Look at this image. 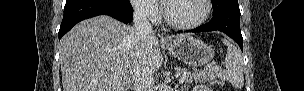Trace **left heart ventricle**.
<instances>
[{
    "instance_id": "1",
    "label": "left heart ventricle",
    "mask_w": 304,
    "mask_h": 91,
    "mask_svg": "<svg viewBox=\"0 0 304 91\" xmlns=\"http://www.w3.org/2000/svg\"><path fill=\"white\" fill-rule=\"evenodd\" d=\"M169 16L176 22L190 23L204 13L201 0H175L168 3Z\"/></svg>"
}]
</instances>
